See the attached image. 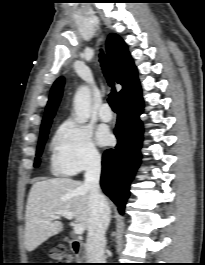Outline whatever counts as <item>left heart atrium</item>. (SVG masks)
Listing matches in <instances>:
<instances>
[{
  "mask_svg": "<svg viewBox=\"0 0 205 265\" xmlns=\"http://www.w3.org/2000/svg\"><path fill=\"white\" fill-rule=\"evenodd\" d=\"M97 139L100 144L107 145L112 141V135L106 129H102L98 132Z\"/></svg>",
  "mask_w": 205,
  "mask_h": 265,
  "instance_id": "left-heart-atrium-1",
  "label": "left heart atrium"
}]
</instances>
